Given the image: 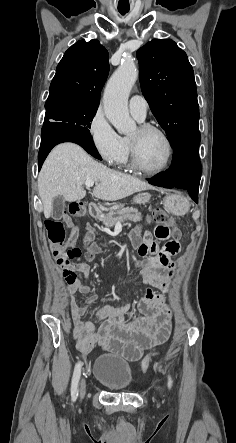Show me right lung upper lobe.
I'll return each instance as SVG.
<instances>
[{
  "instance_id": "right-lung-upper-lobe-1",
  "label": "right lung upper lobe",
  "mask_w": 236,
  "mask_h": 443,
  "mask_svg": "<svg viewBox=\"0 0 236 443\" xmlns=\"http://www.w3.org/2000/svg\"><path fill=\"white\" fill-rule=\"evenodd\" d=\"M108 51L98 40H80L59 62L46 103L70 100L98 106L109 72Z\"/></svg>"
}]
</instances>
